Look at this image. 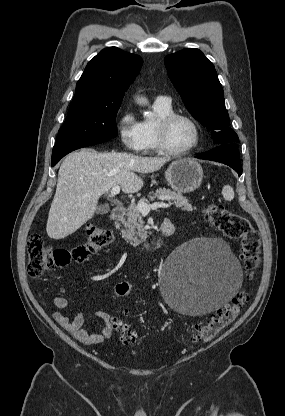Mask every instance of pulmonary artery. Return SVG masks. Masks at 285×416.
Instances as JSON below:
<instances>
[{
	"instance_id": "pulmonary-artery-1",
	"label": "pulmonary artery",
	"mask_w": 285,
	"mask_h": 416,
	"mask_svg": "<svg viewBox=\"0 0 285 416\" xmlns=\"http://www.w3.org/2000/svg\"><path fill=\"white\" fill-rule=\"evenodd\" d=\"M157 100H160V101H164V102H166V103H171V99H170V97H168V96H158L157 97Z\"/></svg>"
}]
</instances>
